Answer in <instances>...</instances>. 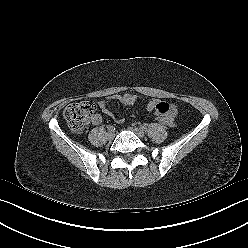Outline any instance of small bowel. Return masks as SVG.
I'll return each instance as SVG.
<instances>
[{
	"instance_id": "obj_1",
	"label": "small bowel",
	"mask_w": 248,
	"mask_h": 248,
	"mask_svg": "<svg viewBox=\"0 0 248 248\" xmlns=\"http://www.w3.org/2000/svg\"><path fill=\"white\" fill-rule=\"evenodd\" d=\"M139 99H140V97L138 95H135V94H130V93L114 94V95L109 96L107 99L100 100L98 104H99L101 111L104 114H106L108 116H113L111 111L108 109V105H107L108 101H117L123 105L132 106ZM147 110L149 112L154 113V115H156V116H158V115L165 116L169 121V125L173 124L174 117H175L176 112H177L174 105H172L168 102L159 101L156 99H152L148 102ZM119 121H121V120H119ZM101 122H102L101 114L93 115L92 123L94 125H99Z\"/></svg>"
}]
</instances>
